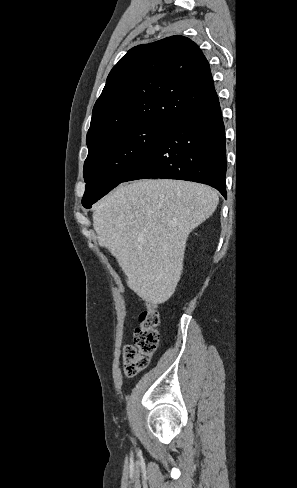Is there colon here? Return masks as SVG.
<instances>
[{"mask_svg":"<svg viewBox=\"0 0 297 488\" xmlns=\"http://www.w3.org/2000/svg\"><path fill=\"white\" fill-rule=\"evenodd\" d=\"M158 323L157 306L151 302L146 303L135 329V346L127 345L123 350V369L127 376H134L149 365L160 341Z\"/></svg>","mask_w":297,"mask_h":488,"instance_id":"obj_1","label":"colon"}]
</instances>
